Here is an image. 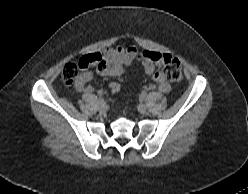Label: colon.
Wrapping results in <instances>:
<instances>
[{
	"label": "colon",
	"instance_id": "1",
	"mask_svg": "<svg viewBox=\"0 0 248 194\" xmlns=\"http://www.w3.org/2000/svg\"><path fill=\"white\" fill-rule=\"evenodd\" d=\"M154 61L162 66V73L164 77L172 82H179L182 79V69L180 62L175 57L169 54H155ZM97 59L88 54L83 56L77 63L69 62L62 70V81L66 86H71L79 79L81 72L91 65H94ZM111 89L117 92L121 89V85L117 82L111 84Z\"/></svg>",
	"mask_w": 248,
	"mask_h": 194
}]
</instances>
